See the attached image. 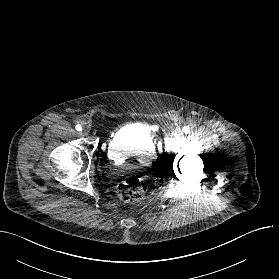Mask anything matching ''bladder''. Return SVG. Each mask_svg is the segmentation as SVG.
Here are the masks:
<instances>
[{
    "label": "bladder",
    "instance_id": "31cf9c89",
    "mask_svg": "<svg viewBox=\"0 0 279 279\" xmlns=\"http://www.w3.org/2000/svg\"><path fill=\"white\" fill-rule=\"evenodd\" d=\"M106 150L114 163L126 169L149 167L157 158L153 132L141 122L127 123L113 131Z\"/></svg>",
    "mask_w": 279,
    "mask_h": 279
}]
</instances>
